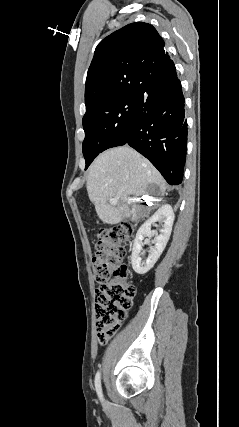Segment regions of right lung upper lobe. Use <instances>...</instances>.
Returning <instances> with one entry per match:
<instances>
[{
  "label": "right lung upper lobe",
  "mask_w": 239,
  "mask_h": 427,
  "mask_svg": "<svg viewBox=\"0 0 239 427\" xmlns=\"http://www.w3.org/2000/svg\"><path fill=\"white\" fill-rule=\"evenodd\" d=\"M156 29L135 22L113 32L96 47L85 88L86 108L110 99L138 97L177 77L174 62Z\"/></svg>",
  "instance_id": "1"
}]
</instances>
